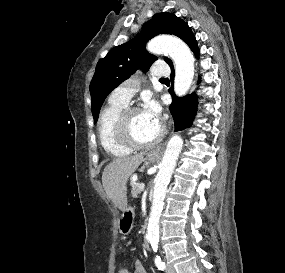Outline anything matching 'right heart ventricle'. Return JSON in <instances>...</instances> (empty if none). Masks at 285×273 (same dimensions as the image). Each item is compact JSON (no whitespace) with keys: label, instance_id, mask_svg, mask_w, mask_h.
<instances>
[{"label":"right heart ventricle","instance_id":"right-heart-ventricle-1","mask_svg":"<svg viewBox=\"0 0 285 273\" xmlns=\"http://www.w3.org/2000/svg\"><path fill=\"white\" fill-rule=\"evenodd\" d=\"M125 107V103L110 100L99 118L98 136L100 144L106 153L115 157L128 155L132 151V149L123 146L115 134L117 118Z\"/></svg>","mask_w":285,"mask_h":273}]
</instances>
